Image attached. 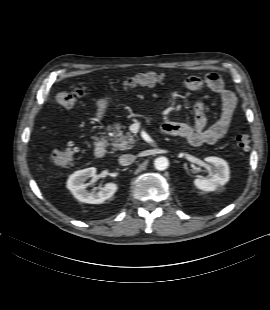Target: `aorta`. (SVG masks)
I'll list each match as a JSON object with an SVG mask.
<instances>
[{
  "label": "aorta",
  "mask_w": 270,
  "mask_h": 310,
  "mask_svg": "<svg viewBox=\"0 0 270 310\" xmlns=\"http://www.w3.org/2000/svg\"><path fill=\"white\" fill-rule=\"evenodd\" d=\"M168 165H169L168 159L163 156L156 158L154 161V167L159 171L167 169Z\"/></svg>",
  "instance_id": "aorta-1"
}]
</instances>
